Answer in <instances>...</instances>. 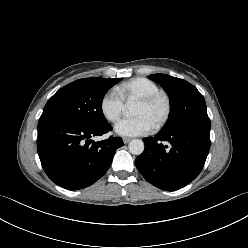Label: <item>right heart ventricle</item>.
I'll use <instances>...</instances> for the list:
<instances>
[{
	"label": "right heart ventricle",
	"instance_id": "1",
	"mask_svg": "<svg viewBox=\"0 0 248 248\" xmlns=\"http://www.w3.org/2000/svg\"><path fill=\"white\" fill-rule=\"evenodd\" d=\"M116 91L125 102H132L159 93L161 90L152 80L137 77L120 84L117 86Z\"/></svg>",
	"mask_w": 248,
	"mask_h": 248
}]
</instances>
